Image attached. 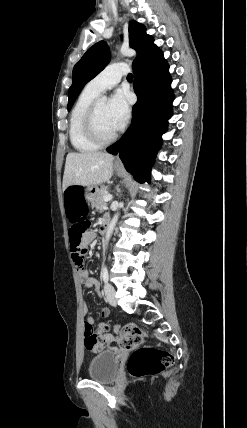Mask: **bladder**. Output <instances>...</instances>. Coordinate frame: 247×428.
Masks as SVG:
<instances>
[{
  "instance_id": "31cf9c89",
  "label": "bladder",
  "mask_w": 247,
  "mask_h": 428,
  "mask_svg": "<svg viewBox=\"0 0 247 428\" xmlns=\"http://www.w3.org/2000/svg\"><path fill=\"white\" fill-rule=\"evenodd\" d=\"M118 368L116 353L109 349L101 350L90 360L88 377L99 383H110L116 378Z\"/></svg>"
}]
</instances>
